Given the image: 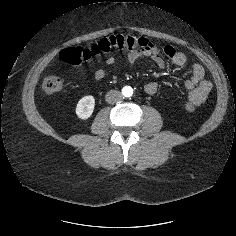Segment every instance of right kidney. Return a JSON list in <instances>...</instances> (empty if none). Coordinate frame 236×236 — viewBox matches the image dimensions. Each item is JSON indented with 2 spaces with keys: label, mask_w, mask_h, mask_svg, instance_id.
<instances>
[{
  "label": "right kidney",
  "mask_w": 236,
  "mask_h": 236,
  "mask_svg": "<svg viewBox=\"0 0 236 236\" xmlns=\"http://www.w3.org/2000/svg\"><path fill=\"white\" fill-rule=\"evenodd\" d=\"M94 107H95L94 97L91 95L85 96L79 100L76 106L75 110L76 115L78 116V118L86 120L92 115Z\"/></svg>",
  "instance_id": "1"
}]
</instances>
